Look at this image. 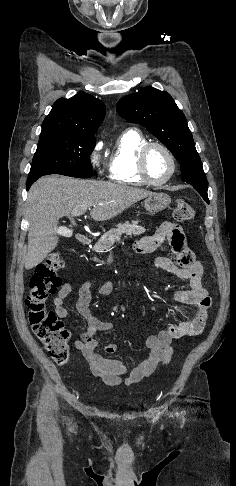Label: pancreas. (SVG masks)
Listing matches in <instances>:
<instances>
[{
	"label": "pancreas",
	"instance_id": "obj_1",
	"mask_svg": "<svg viewBox=\"0 0 236 486\" xmlns=\"http://www.w3.org/2000/svg\"><path fill=\"white\" fill-rule=\"evenodd\" d=\"M146 229L138 225V221H133L132 224L125 222L124 224H118L116 228L106 232L94 245L93 250L98 253H103L104 250L110 249L117 238L122 235L125 237L137 236L145 233Z\"/></svg>",
	"mask_w": 236,
	"mask_h": 486
}]
</instances>
